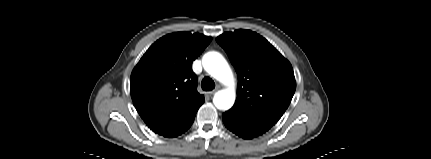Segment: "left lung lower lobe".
I'll return each mask as SVG.
<instances>
[{"label":"left lung lower lobe","instance_id":"1","mask_svg":"<svg viewBox=\"0 0 431 159\" xmlns=\"http://www.w3.org/2000/svg\"><path fill=\"white\" fill-rule=\"evenodd\" d=\"M223 123L227 129L244 139H252L260 136L271 128L266 125L242 120L228 111L223 114Z\"/></svg>","mask_w":431,"mask_h":159}]
</instances>
